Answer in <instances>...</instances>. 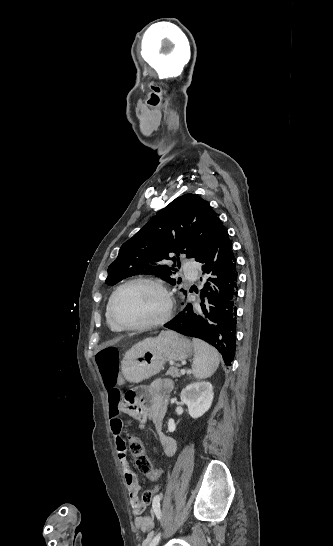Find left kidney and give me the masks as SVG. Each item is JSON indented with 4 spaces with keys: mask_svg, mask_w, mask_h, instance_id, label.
<instances>
[{
    "mask_svg": "<svg viewBox=\"0 0 333 546\" xmlns=\"http://www.w3.org/2000/svg\"><path fill=\"white\" fill-rule=\"evenodd\" d=\"M181 400L188 407L192 418H198L209 410L213 401V387L209 382H195L186 386L181 394ZM176 428L173 419L168 421V430L173 432Z\"/></svg>",
    "mask_w": 333,
    "mask_h": 546,
    "instance_id": "left-kidney-1",
    "label": "left kidney"
}]
</instances>
